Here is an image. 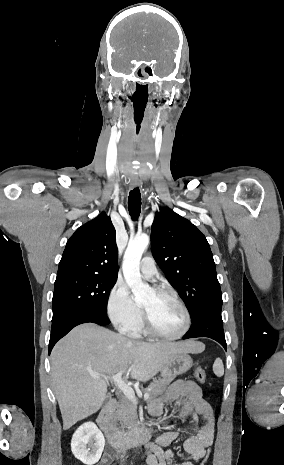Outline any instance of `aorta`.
<instances>
[{
    "mask_svg": "<svg viewBox=\"0 0 284 465\" xmlns=\"http://www.w3.org/2000/svg\"><path fill=\"white\" fill-rule=\"evenodd\" d=\"M149 241L147 234L137 235L130 239L123 257V275L126 283L132 289L136 302H144L152 293L151 288L143 283L139 269L141 257Z\"/></svg>",
    "mask_w": 284,
    "mask_h": 465,
    "instance_id": "762f6f07",
    "label": "aorta"
}]
</instances>
